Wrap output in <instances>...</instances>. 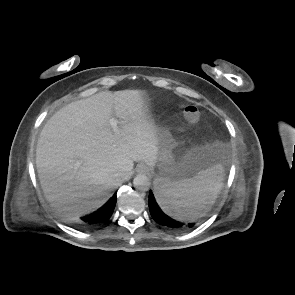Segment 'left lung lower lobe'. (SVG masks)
Returning a JSON list of instances; mask_svg holds the SVG:
<instances>
[{
	"instance_id": "left-lung-lower-lobe-1",
	"label": "left lung lower lobe",
	"mask_w": 295,
	"mask_h": 295,
	"mask_svg": "<svg viewBox=\"0 0 295 295\" xmlns=\"http://www.w3.org/2000/svg\"><path fill=\"white\" fill-rule=\"evenodd\" d=\"M149 209L153 219L160 225L174 229L183 230L193 228L195 223H183L166 215L157 204L152 191L149 193Z\"/></svg>"
}]
</instances>
